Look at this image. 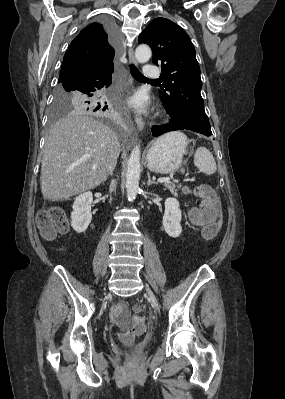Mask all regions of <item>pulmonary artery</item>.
<instances>
[{
	"label": "pulmonary artery",
	"instance_id": "pulmonary-artery-1",
	"mask_svg": "<svg viewBox=\"0 0 285 399\" xmlns=\"http://www.w3.org/2000/svg\"><path fill=\"white\" fill-rule=\"evenodd\" d=\"M143 76L147 79L157 78L160 76L159 70L151 64H146L144 66Z\"/></svg>",
	"mask_w": 285,
	"mask_h": 399
}]
</instances>
